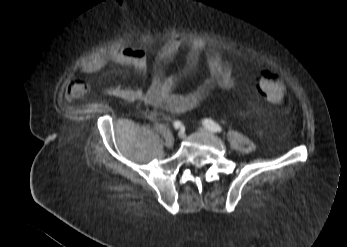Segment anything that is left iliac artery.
<instances>
[{
    "instance_id": "1",
    "label": "left iliac artery",
    "mask_w": 347,
    "mask_h": 247,
    "mask_svg": "<svg viewBox=\"0 0 347 247\" xmlns=\"http://www.w3.org/2000/svg\"><path fill=\"white\" fill-rule=\"evenodd\" d=\"M203 125L213 132H221L222 128L216 122L211 119H205Z\"/></svg>"
}]
</instances>
